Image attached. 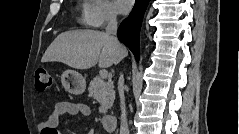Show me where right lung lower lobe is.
Masks as SVG:
<instances>
[{
  "label": "right lung lower lobe",
  "mask_w": 239,
  "mask_h": 134,
  "mask_svg": "<svg viewBox=\"0 0 239 134\" xmlns=\"http://www.w3.org/2000/svg\"><path fill=\"white\" fill-rule=\"evenodd\" d=\"M149 0H135V6L129 17L120 24L117 32L119 40L124 43L139 61V36L144 12Z\"/></svg>",
  "instance_id": "obj_1"
}]
</instances>
